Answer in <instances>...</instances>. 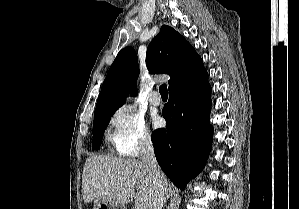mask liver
Wrapping results in <instances>:
<instances>
[{"label":"liver","mask_w":299,"mask_h":209,"mask_svg":"<svg viewBox=\"0 0 299 209\" xmlns=\"http://www.w3.org/2000/svg\"><path fill=\"white\" fill-rule=\"evenodd\" d=\"M164 189L166 195L172 189L166 177ZM82 193L85 203L95 198L120 205L135 200V209H154L158 198L154 181L141 161L102 155L87 158L82 175Z\"/></svg>","instance_id":"obj_1"}]
</instances>
